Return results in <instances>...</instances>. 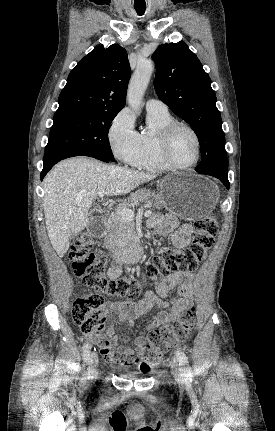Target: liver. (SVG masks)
I'll list each match as a JSON object with an SVG mask.
<instances>
[{
	"instance_id": "obj_1",
	"label": "liver",
	"mask_w": 275,
	"mask_h": 431,
	"mask_svg": "<svg viewBox=\"0 0 275 431\" xmlns=\"http://www.w3.org/2000/svg\"><path fill=\"white\" fill-rule=\"evenodd\" d=\"M155 177L86 157L59 162L43 182L46 230L59 257L69 249L71 237L88 227V211L100 190L123 195Z\"/></svg>"
}]
</instances>
